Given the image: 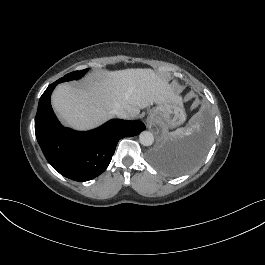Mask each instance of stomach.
<instances>
[{"instance_id": "1", "label": "stomach", "mask_w": 265, "mask_h": 265, "mask_svg": "<svg viewBox=\"0 0 265 265\" xmlns=\"http://www.w3.org/2000/svg\"><path fill=\"white\" fill-rule=\"evenodd\" d=\"M186 119L183 104L165 102L154 107L149 113V121L158 124L163 129L175 128Z\"/></svg>"}]
</instances>
